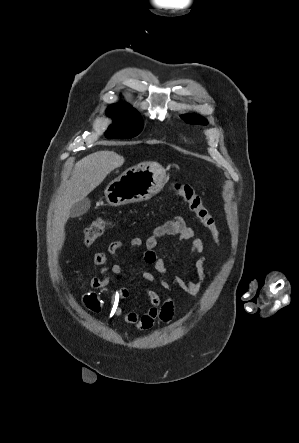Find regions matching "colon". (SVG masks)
Returning <instances> with one entry per match:
<instances>
[{
    "label": "colon",
    "instance_id": "1",
    "mask_svg": "<svg viewBox=\"0 0 299 443\" xmlns=\"http://www.w3.org/2000/svg\"><path fill=\"white\" fill-rule=\"evenodd\" d=\"M173 190L185 201L189 209L196 215L202 225L210 231L213 240L216 243H219V231L216 220L204 205L202 198L196 192L194 187L187 183L176 182L173 185ZM109 227L110 223L103 217H98L93 220L83 232L85 245L90 246L94 244Z\"/></svg>",
    "mask_w": 299,
    "mask_h": 443
}]
</instances>
